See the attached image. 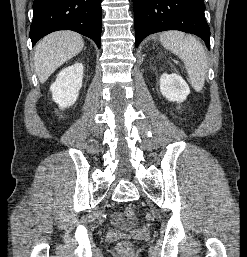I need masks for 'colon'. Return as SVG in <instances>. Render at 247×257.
I'll list each match as a JSON object with an SVG mask.
<instances>
[{
  "label": "colon",
  "instance_id": "colon-1",
  "mask_svg": "<svg viewBox=\"0 0 247 257\" xmlns=\"http://www.w3.org/2000/svg\"><path fill=\"white\" fill-rule=\"evenodd\" d=\"M135 214L136 212L132 207H127L123 210V216L128 220L134 219ZM117 248L121 253H128L131 249V245L129 242L123 241L118 244Z\"/></svg>",
  "mask_w": 247,
  "mask_h": 257
}]
</instances>
